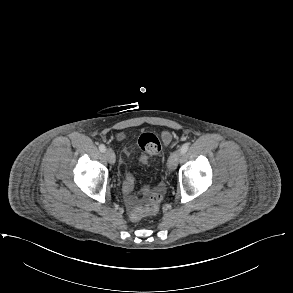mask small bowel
Returning a JSON list of instances; mask_svg holds the SVG:
<instances>
[{"mask_svg":"<svg viewBox=\"0 0 293 293\" xmlns=\"http://www.w3.org/2000/svg\"><path fill=\"white\" fill-rule=\"evenodd\" d=\"M123 138H124V135L123 134H118L117 135V139L119 141L123 140ZM164 138H165L166 141H169L170 140V136L169 135H165ZM125 200H126L127 209H128V211H130L131 208H132V197L130 196V194H128L126 192H125Z\"/></svg>","mask_w":293,"mask_h":293,"instance_id":"c3829d8e","label":"small bowel"}]
</instances>
